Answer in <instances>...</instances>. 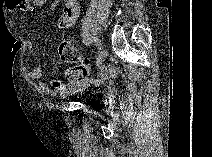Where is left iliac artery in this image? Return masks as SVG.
Returning <instances> with one entry per match:
<instances>
[{"mask_svg":"<svg viewBox=\"0 0 212 157\" xmlns=\"http://www.w3.org/2000/svg\"><path fill=\"white\" fill-rule=\"evenodd\" d=\"M95 45L99 50L102 49V43L99 39H95Z\"/></svg>","mask_w":212,"mask_h":157,"instance_id":"44dca946","label":"left iliac artery"}]
</instances>
